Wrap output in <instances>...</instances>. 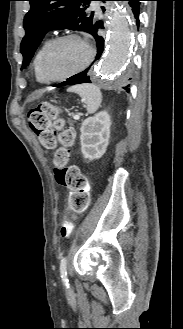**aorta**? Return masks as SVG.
<instances>
[{
    "label": "aorta",
    "mask_w": 183,
    "mask_h": 329,
    "mask_svg": "<svg viewBox=\"0 0 183 329\" xmlns=\"http://www.w3.org/2000/svg\"><path fill=\"white\" fill-rule=\"evenodd\" d=\"M132 25L130 11L123 4L116 5L108 24L106 54L97 70L102 81L113 84L123 79L132 46Z\"/></svg>",
    "instance_id": "aorta-1"
}]
</instances>
